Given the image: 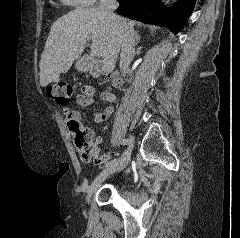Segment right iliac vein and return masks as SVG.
<instances>
[{
  "mask_svg": "<svg viewBox=\"0 0 240 238\" xmlns=\"http://www.w3.org/2000/svg\"><path fill=\"white\" fill-rule=\"evenodd\" d=\"M128 149L125 152L124 156L117 161L116 163L109 165L103 172H101L96 178L95 180L92 182V184L89 186L88 188V194H87V201L90 200V197L92 196V194L97 190V188L102 184V182L111 174L116 173L120 170H122L127 163L130 160V156H131V151L133 148V139L130 137L128 140Z\"/></svg>",
  "mask_w": 240,
  "mask_h": 238,
  "instance_id": "63e3f726",
  "label": "right iliac vein"
}]
</instances>
